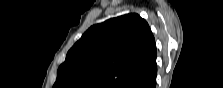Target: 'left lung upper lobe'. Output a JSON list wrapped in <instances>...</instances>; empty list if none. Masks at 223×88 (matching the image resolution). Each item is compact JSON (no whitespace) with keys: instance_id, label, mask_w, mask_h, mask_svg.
I'll return each instance as SVG.
<instances>
[{"instance_id":"obj_1","label":"left lung upper lobe","mask_w":223,"mask_h":88,"mask_svg":"<svg viewBox=\"0 0 223 88\" xmlns=\"http://www.w3.org/2000/svg\"><path fill=\"white\" fill-rule=\"evenodd\" d=\"M156 46L135 13L91 26L57 71L59 88H130L156 66Z\"/></svg>"}]
</instances>
